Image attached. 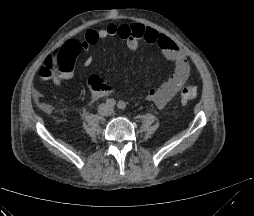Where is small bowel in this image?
Here are the masks:
<instances>
[{"label":"small bowel","instance_id":"small-bowel-1","mask_svg":"<svg viewBox=\"0 0 254 216\" xmlns=\"http://www.w3.org/2000/svg\"><path fill=\"white\" fill-rule=\"evenodd\" d=\"M108 37H119L125 40L128 49L132 51L138 48L140 42L156 45L162 50L163 55L168 60L175 63V71L172 76L158 88L151 89L146 93L147 99L152 101L158 108L165 107L187 82L190 75V64L183 50L166 35L139 23L110 24L102 29H89L86 31L83 41L79 42L69 39L62 44L61 49L66 51L73 50L77 42L80 43L82 49H87L90 45H94ZM55 54L56 51L50 56H55ZM91 61V58L88 57L84 65L89 66ZM72 76V70L66 71L59 76H55L53 82L56 85H60L62 81L69 80ZM89 87L92 91L91 97L93 100L100 99L114 91L112 86L102 82L96 75L89 78Z\"/></svg>","mask_w":254,"mask_h":216}]
</instances>
